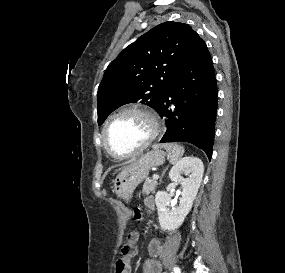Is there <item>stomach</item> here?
Segmentation results:
<instances>
[{
	"label": "stomach",
	"mask_w": 285,
	"mask_h": 273,
	"mask_svg": "<svg viewBox=\"0 0 285 273\" xmlns=\"http://www.w3.org/2000/svg\"><path fill=\"white\" fill-rule=\"evenodd\" d=\"M165 156L164 151L155 148L123 168L114 181L116 194L128 201L135 188L147 178L150 169L163 164Z\"/></svg>",
	"instance_id": "stomach-1"
}]
</instances>
